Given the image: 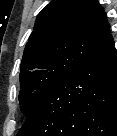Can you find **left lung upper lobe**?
Listing matches in <instances>:
<instances>
[{
  "mask_svg": "<svg viewBox=\"0 0 117 136\" xmlns=\"http://www.w3.org/2000/svg\"><path fill=\"white\" fill-rule=\"evenodd\" d=\"M97 0H52L37 16L20 66L19 102L29 115L109 35Z\"/></svg>",
  "mask_w": 117,
  "mask_h": 136,
  "instance_id": "5c2ea615",
  "label": "left lung upper lobe"
}]
</instances>
